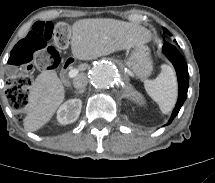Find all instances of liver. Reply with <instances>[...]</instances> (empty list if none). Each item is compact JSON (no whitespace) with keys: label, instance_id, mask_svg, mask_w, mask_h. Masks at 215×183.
Instances as JSON below:
<instances>
[{"label":"liver","instance_id":"obj_1","mask_svg":"<svg viewBox=\"0 0 215 183\" xmlns=\"http://www.w3.org/2000/svg\"><path fill=\"white\" fill-rule=\"evenodd\" d=\"M71 50L76 59L92 60L120 50H130L151 41L143 26L115 19H83L71 28ZM85 65H80L83 70ZM79 76V75H78ZM65 99V89L53 70L40 73L32 83L26 105L25 130L35 132L55 114Z\"/></svg>","mask_w":215,"mask_h":183}]
</instances>
